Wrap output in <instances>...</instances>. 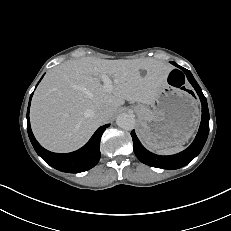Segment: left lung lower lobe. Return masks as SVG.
Instances as JSON below:
<instances>
[{"mask_svg":"<svg viewBox=\"0 0 231 231\" xmlns=\"http://www.w3.org/2000/svg\"><path fill=\"white\" fill-rule=\"evenodd\" d=\"M183 71L185 72L189 82L192 84L201 100L202 120L199 131L193 143L184 151L171 156H160L146 150L138 140L133 130L131 132V136L133 139L135 155L142 163L146 165L169 170L181 168L189 164L201 152L207 140L209 133V111L206 98L203 95L200 86L192 76L191 72L186 69H183Z\"/></svg>","mask_w":231,"mask_h":231,"instance_id":"0a47b994","label":"left lung lower lobe"}]
</instances>
